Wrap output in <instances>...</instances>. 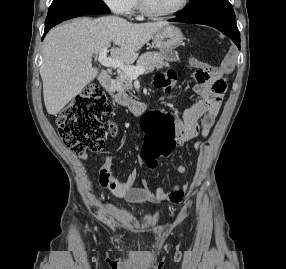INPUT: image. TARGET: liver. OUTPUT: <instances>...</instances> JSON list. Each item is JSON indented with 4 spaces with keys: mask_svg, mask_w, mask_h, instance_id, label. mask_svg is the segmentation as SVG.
I'll return each instance as SVG.
<instances>
[{
    "mask_svg": "<svg viewBox=\"0 0 286 269\" xmlns=\"http://www.w3.org/2000/svg\"><path fill=\"white\" fill-rule=\"evenodd\" d=\"M167 25L163 21L135 24L109 16L77 18L53 28L44 39L40 67L47 112H60L96 78L98 69L92 67L94 53L113 42L116 47L111 48V57L130 65L137 59V52Z\"/></svg>",
    "mask_w": 286,
    "mask_h": 269,
    "instance_id": "obj_1",
    "label": "liver"
}]
</instances>
